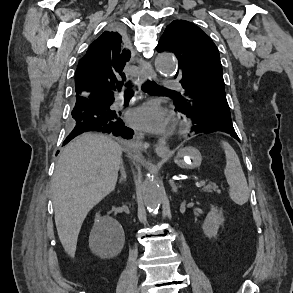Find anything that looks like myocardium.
<instances>
[{
  "instance_id": "obj_1",
  "label": "myocardium",
  "mask_w": 293,
  "mask_h": 293,
  "mask_svg": "<svg viewBox=\"0 0 293 293\" xmlns=\"http://www.w3.org/2000/svg\"><path fill=\"white\" fill-rule=\"evenodd\" d=\"M179 127H180V130L183 132L188 131L190 128V123L187 121H181L179 123Z\"/></svg>"
}]
</instances>
